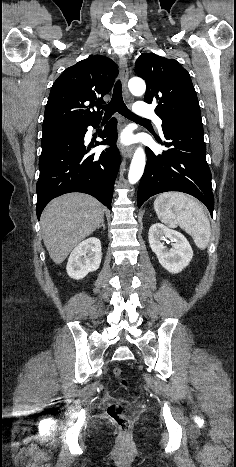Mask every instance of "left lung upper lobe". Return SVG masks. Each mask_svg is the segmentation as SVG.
I'll return each mask as SVG.
<instances>
[{"label": "left lung upper lobe", "instance_id": "5c2ea615", "mask_svg": "<svg viewBox=\"0 0 236 467\" xmlns=\"http://www.w3.org/2000/svg\"><path fill=\"white\" fill-rule=\"evenodd\" d=\"M136 74L147 85L145 102H157L162 127L178 124L202 125L200 106L189 73L175 60L151 53L141 54Z\"/></svg>", "mask_w": 236, "mask_h": 467}]
</instances>
